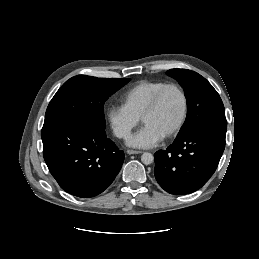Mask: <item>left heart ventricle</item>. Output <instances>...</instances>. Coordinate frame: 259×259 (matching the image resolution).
I'll use <instances>...</instances> for the list:
<instances>
[{"mask_svg":"<svg viewBox=\"0 0 259 259\" xmlns=\"http://www.w3.org/2000/svg\"><path fill=\"white\" fill-rule=\"evenodd\" d=\"M182 108L183 102L179 92L176 89H169L164 94L159 108L146 117L143 123L164 137L178 123Z\"/></svg>","mask_w":259,"mask_h":259,"instance_id":"1","label":"left heart ventricle"}]
</instances>
